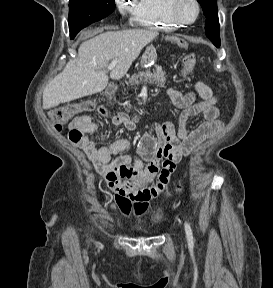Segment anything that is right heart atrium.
<instances>
[{
    "label": "right heart atrium",
    "mask_w": 273,
    "mask_h": 288,
    "mask_svg": "<svg viewBox=\"0 0 273 288\" xmlns=\"http://www.w3.org/2000/svg\"><path fill=\"white\" fill-rule=\"evenodd\" d=\"M137 0H115L116 7L120 14L124 17L134 12Z\"/></svg>",
    "instance_id": "obj_1"
}]
</instances>
